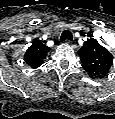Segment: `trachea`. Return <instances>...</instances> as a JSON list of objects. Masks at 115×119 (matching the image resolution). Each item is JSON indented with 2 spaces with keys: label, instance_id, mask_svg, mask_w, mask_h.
Segmentation results:
<instances>
[{
  "label": "trachea",
  "instance_id": "obj_1",
  "mask_svg": "<svg viewBox=\"0 0 115 119\" xmlns=\"http://www.w3.org/2000/svg\"><path fill=\"white\" fill-rule=\"evenodd\" d=\"M72 40V33L69 30H64L61 34L60 41Z\"/></svg>",
  "mask_w": 115,
  "mask_h": 119
}]
</instances>
